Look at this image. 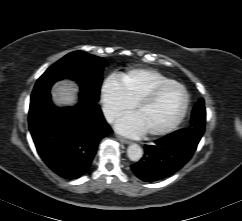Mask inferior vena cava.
Masks as SVG:
<instances>
[{"label":"inferior vena cava","mask_w":242,"mask_h":221,"mask_svg":"<svg viewBox=\"0 0 242 221\" xmlns=\"http://www.w3.org/2000/svg\"><path fill=\"white\" fill-rule=\"evenodd\" d=\"M103 114L105 116V119L111 123L116 119L117 113L116 111L109 105H103L102 107Z\"/></svg>","instance_id":"1"}]
</instances>
